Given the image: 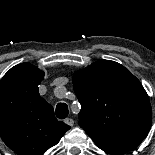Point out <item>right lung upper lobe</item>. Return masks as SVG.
<instances>
[{
  "mask_svg": "<svg viewBox=\"0 0 155 155\" xmlns=\"http://www.w3.org/2000/svg\"><path fill=\"white\" fill-rule=\"evenodd\" d=\"M43 78L39 68L22 63L0 81V137L18 155H43L70 129L40 97Z\"/></svg>",
  "mask_w": 155,
  "mask_h": 155,
  "instance_id": "1",
  "label": "right lung upper lobe"
}]
</instances>
